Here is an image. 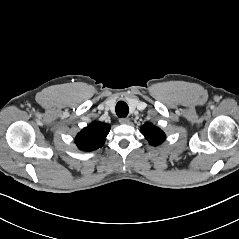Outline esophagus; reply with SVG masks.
Here are the masks:
<instances>
[{"instance_id":"1","label":"esophagus","mask_w":239,"mask_h":239,"mask_svg":"<svg viewBox=\"0 0 239 239\" xmlns=\"http://www.w3.org/2000/svg\"><path fill=\"white\" fill-rule=\"evenodd\" d=\"M119 122L121 124H129L130 120L127 117H122V118L119 119Z\"/></svg>"}]
</instances>
